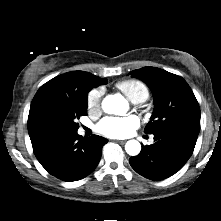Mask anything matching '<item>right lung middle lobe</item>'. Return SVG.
Returning <instances> with one entry per match:
<instances>
[{"label": "right lung middle lobe", "instance_id": "right-lung-middle-lobe-1", "mask_svg": "<svg viewBox=\"0 0 221 221\" xmlns=\"http://www.w3.org/2000/svg\"><path fill=\"white\" fill-rule=\"evenodd\" d=\"M41 106L42 116L49 124L61 133H74L79 128L76 120L87 115V94L68 97L47 91L42 95Z\"/></svg>", "mask_w": 221, "mask_h": 221}]
</instances>
